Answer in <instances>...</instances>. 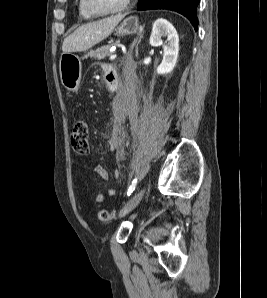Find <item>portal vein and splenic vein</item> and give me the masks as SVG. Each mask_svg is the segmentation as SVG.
Returning <instances> with one entry per match:
<instances>
[{"label":"portal vein and splenic vein","mask_w":267,"mask_h":298,"mask_svg":"<svg viewBox=\"0 0 267 298\" xmlns=\"http://www.w3.org/2000/svg\"><path fill=\"white\" fill-rule=\"evenodd\" d=\"M116 57H117L116 54H112V55H110V59H111V60L115 59Z\"/></svg>","instance_id":"18ae733b"}]
</instances>
